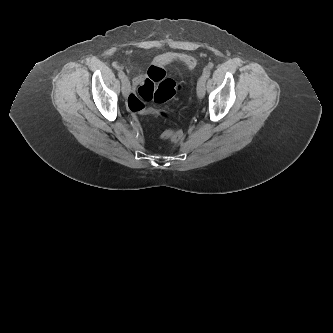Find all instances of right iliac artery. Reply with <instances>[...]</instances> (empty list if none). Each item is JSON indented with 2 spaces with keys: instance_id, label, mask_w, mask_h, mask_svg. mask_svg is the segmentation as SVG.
Masks as SVG:
<instances>
[{
  "instance_id": "82829eb1",
  "label": "right iliac artery",
  "mask_w": 333,
  "mask_h": 333,
  "mask_svg": "<svg viewBox=\"0 0 333 333\" xmlns=\"http://www.w3.org/2000/svg\"><path fill=\"white\" fill-rule=\"evenodd\" d=\"M119 78L121 79L122 83L127 82L126 76L123 71H120L118 74Z\"/></svg>"
}]
</instances>
